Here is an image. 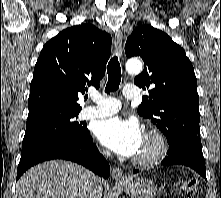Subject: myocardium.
<instances>
[{
	"label": "myocardium",
	"mask_w": 221,
	"mask_h": 198,
	"mask_svg": "<svg viewBox=\"0 0 221 198\" xmlns=\"http://www.w3.org/2000/svg\"><path fill=\"white\" fill-rule=\"evenodd\" d=\"M152 141L153 148L151 152L145 156H134L132 163L138 167H150L160 162L166 155L168 144L165 137L156 129H147L143 135Z\"/></svg>",
	"instance_id": "1"
}]
</instances>
